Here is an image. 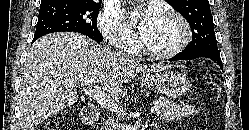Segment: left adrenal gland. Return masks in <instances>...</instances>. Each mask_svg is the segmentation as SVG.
Returning <instances> with one entry per match:
<instances>
[{
	"instance_id": "a2214340",
	"label": "left adrenal gland",
	"mask_w": 249,
	"mask_h": 130,
	"mask_svg": "<svg viewBox=\"0 0 249 130\" xmlns=\"http://www.w3.org/2000/svg\"><path fill=\"white\" fill-rule=\"evenodd\" d=\"M151 126H153L155 129H157L159 127V123L152 122Z\"/></svg>"
}]
</instances>
